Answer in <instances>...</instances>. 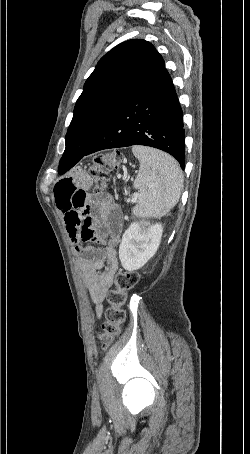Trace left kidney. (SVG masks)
I'll return each mask as SVG.
<instances>
[{
  "mask_svg": "<svg viewBox=\"0 0 250 454\" xmlns=\"http://www.w3.org/2000/svg\"><path fill=\"white\" fill-rule=\"evenodd\" d=\"M162 224L145 225L133 222L124 232L119 247V259L127 271L138 270L152 258L160 245Z\"/></svg>",
  "mask_w": 250,
  "mask_h": 454,
  "instance_id": "1",
  "label": "left kidney"
}]
</instances>
